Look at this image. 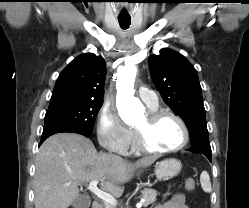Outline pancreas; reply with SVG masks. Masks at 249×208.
Returning <instances> with one entry per match:
<instances>
[{"instance_id":"cf45deb5","label":"pancreas","mask_w":249,"mask_h":208,"mask_svg":"<svg viewBox=\"0 0 249 208\" xmlns=\"http://www.w3.org/2000/svg\"><path fill=\"white\" fill-rule=\"evenodd\" d=\"M142 198L145 200L143 202V206L147 207L148 205L154 203L156 201L157 191L150 188H145L141 191ZM103 208H114L112 205L108 203H104Z\"/></svg>"}]
</instances>
